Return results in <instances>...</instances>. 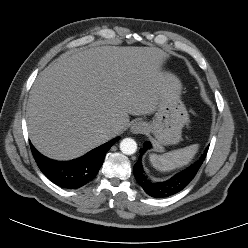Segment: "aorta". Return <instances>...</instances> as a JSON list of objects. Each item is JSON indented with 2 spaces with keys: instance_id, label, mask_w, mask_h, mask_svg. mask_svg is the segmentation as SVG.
I'll use <instances>...</instances> for the list:
<instances>
[{
  "instance_id": "762f6f07",
  "label": "aorta",
  "mask_w": 248,
  "mask_h": 248,
  "mask_svg": "<svg viewBox=\"0 0 248 248\" xmlns=\"http://www.w3.org/2000/svg\"><path fill=\"white\" fill-rule=\"evenodd\" d=\"M120 150L123 154L132 155L137 151V143L132 138H125L120 142Z\"/></svg>"
}]
</instances>
